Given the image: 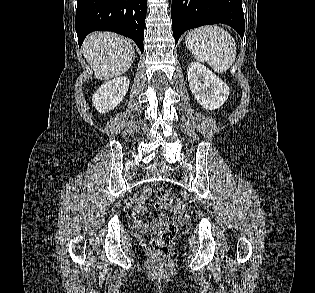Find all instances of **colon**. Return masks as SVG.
Here are the masks:
<instances>
[{"label":"colon","mask_w":315,"mask_h":293,"mask_svg":"<svg viewBox=\"0 0 315 293\" xmlns=\"http://www.w3.org/2000/svg\"><path fill=\"white\" fill-rule=\"evenodd\" d=\"M156 197L159 201L167 203L171 208H175L177 212L176 220L182 222L185 219L183 203L169 191L158 189ZM156 234L150 240L149 249L152 255L158 260H166L169 256V247L173 242L176 233L177 225L174 222H166L162 230H155Z\"/></svg>","instance_id":"5ec220e1"}]
</instances>
